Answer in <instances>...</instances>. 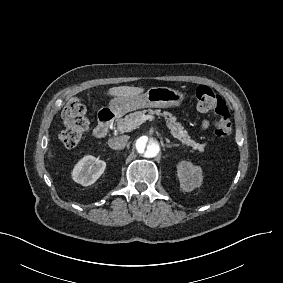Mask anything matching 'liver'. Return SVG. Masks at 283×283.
Segmentation results:
<instances>
[{
  "mask_svg": "<svg viewBox=\"0 0 283 283\" xmlns=\"http://www.w3.org/2000/svg\"><path fill=\"white\" fill-rule=\"evenodd\" d=\"M146 88L135 86H117L111 87L106 91H100L99 96L112 97V98H134L144 94ZM53 146L48 145L47 149V162H51L53 159Z\"/></svg>",
  "mask_w": 283,
  "mask_h": 283,
  "instance_id": "1",
  "label": "liver"
}]
</instances>
